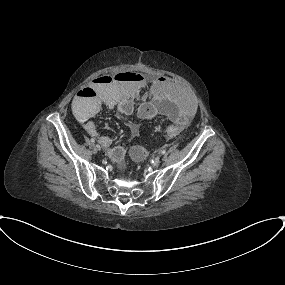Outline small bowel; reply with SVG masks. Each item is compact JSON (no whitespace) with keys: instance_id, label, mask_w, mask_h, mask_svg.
Masks as SVG:
<instances>
[{"instance_id":"small-bowel-1","label":"small bowel","mask_w":285,"mask_h":285,"mask_svg":"<svg viewBox=\"0 0 285 285\" xmlns=\"http://www.w3.org/2000/svg\"><path fill=\"white\" fill-rule=\"evenodd\" d=\"M126 72L114 75L100 76L88 87L79 90L72 100L74 114L84 122L87 132L96 137L105 148L109 156L116 163H121L126 154L123 146L112 145V139L98 132L96 124L90 120L103 106L115 109L124 116L136 115L142 119H151L157 115L167 117L175 127L169 126L167 133L171 138H176L182 129L187 127L197 112V104L185 86L179 81L167 77L147 80L141 74H136L137 80L122 79L120 76ZM131 73V72H129ZM146 89L143 96V90ZM96 95L91 101L87 97ZM130 137L138 135L139 126L131 123Z\"/></svg>"}]
</instances>
